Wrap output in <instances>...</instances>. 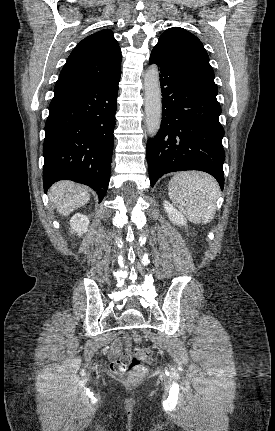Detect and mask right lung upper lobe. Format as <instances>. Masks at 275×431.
I'll return each instance as SVG.
<instances>
[{
    "mask_svg": "<svg viewBox=\"0 0 275 431\" xmlns=\"http://www.w3.org/2000/svg\"><path fill=\"white\" fill-rule=\"evenodd\" d=\"M121 72V51L111 30L83 39L69 55L54 93L103 84Z\"/></svg>",
    "mask_w": 275,
    "mask_h": 431,
    "instance_id": "1",
    "label": "right lung upper lobe"
}]
</instances>
